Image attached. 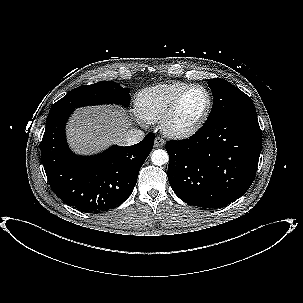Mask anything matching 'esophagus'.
Returning a JSON list of instances; mask_svg holds the SVG:
<instances>
[{
    "label": "esophagus",
    "instance_id": "1",
    "mask_svg": "<svg viewBox=\"0 0 303 303\" xmlns=\"http://www.w3.org/2000/svg\"><path fill=\"white\" fill-rule=\"evenodd\" d=\"M165 145V141L164 139H162L161 137H156L155 138V142H154V146L155 147H163Z\"/></svg>",
    "mask_w": 303,
    "mask_h": 303
}]
</instances>
